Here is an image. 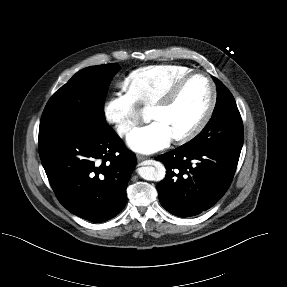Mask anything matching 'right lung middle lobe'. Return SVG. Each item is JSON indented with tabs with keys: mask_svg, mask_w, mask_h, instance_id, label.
Wrapping results in <instances>:
<instances>
[{
	"mask_svg": "<svg viewBox=\"0 0 287 287\" xmlns=\"http://www.w3.org/2000/svg\"><path fill=\"white\" fill-rule=\"evenodd\" d=\"M115 63L91 66L77 72L48 101L40 121L39 142L70 135H89L109 127L104 101Z\"/></svg>",
	"mask_w": 287,
	"mask_h": 287,
	"instance_id": "right-lung-middle-lobe-1",
	"label": "right lung middle lobe"
}]
</instances>
